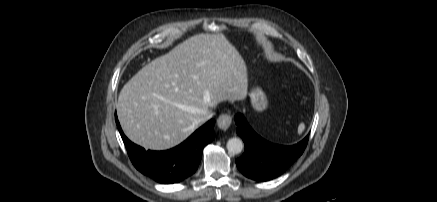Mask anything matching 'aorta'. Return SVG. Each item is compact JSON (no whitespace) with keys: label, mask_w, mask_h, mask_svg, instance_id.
<instances>
[{"label":"aorta","mask_w":437,"mask_h":202,"mask_svg":"<svg viewBox=\"0 0 437 202\" xmlns=\"http://www.w3.org/2000/svg\"><path fill=\"white\" fill-rule=\"evenodd\" d=\"M227 150L231 154H239L243 149V142L239 138H231L227 142Z\"/></svg>","instance_id":"aorta-1"}]
</instances>
